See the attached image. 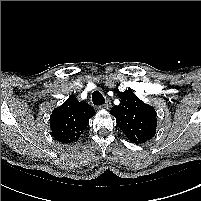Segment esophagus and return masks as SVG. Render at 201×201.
<instances>
[{"mask_svg":"<svg viewBox=\"0 0 201 201\" xmlns=\"http://www.w3.org/2000/svg\"><path fill=\"white\" fill-rule=\"evenodd\" d=\"M110 107H111V101L108 99L103 105L99 106V109L102 108L107 110V109H110Z\"/></svg>","mask_w":201,"mask_h":201,"instance_id":"obj_1","label":"esophagus"}]
</instances>
